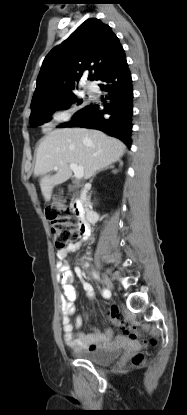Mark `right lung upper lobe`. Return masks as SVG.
<instances>
[{
  "label": "right lung upper lobe",
  "mask_w": 187,
  "mask_h": 415,
  "mask_svg": "<svg viewBox=\"0 0 187 415\" xmlns=\"http://www.w3.org/2000/svg\"><path fill=\"white\" fill-rule=\"evenodd\" d=\"M111 28L99 19L83 22L45 57L37 78L31 110L60 101L73 92L85 70L95 80L122 52Z\"/></svg>",
  "instance_id": "right-lung-upper-lobe-1"
}]
</instances>
